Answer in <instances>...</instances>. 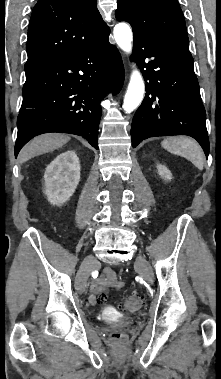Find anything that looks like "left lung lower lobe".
<instances>
[{
  "label": "left lung lower lobe",
  "mask_w": 221,
  "mask_h": 379,
  "mask_svg": "<svg viewBox=\"0 0 221 379\" xmlns=\"http://www.w3.org/2000/svg\"><path fill=\"white\" fill-rule=\"evenodd\" d=\"M117 20L125 21L122 17ZM133 37V59L146 81L145 98L132 121L133 147L150 137L189 135L208 157L206 113L191 53L135 28Z\"/></svg>",
  "instance_id": "0a47b994"
}]
</instances>
